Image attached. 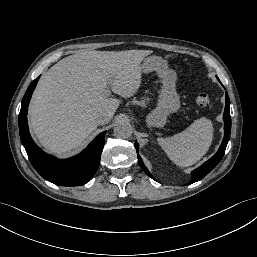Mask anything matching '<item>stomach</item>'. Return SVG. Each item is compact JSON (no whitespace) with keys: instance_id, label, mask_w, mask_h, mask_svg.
<instances>
[{"instance_id":"obj_1","label":"stomach","mask_w":257,"mask_h":257,"mask_svg":"<svg viewBox=\"0 0 257 257\" xmlns=\"http://www.w3.org/2000/svg\"><path fill=\"white\" fill-rule=\"evenodd\" d=\"M141 71L143 73L156 71L162 81L163 86L159 93L157 106L146 118L148 127H161L165 124L167 116L180 107L179 95L175 89L176 75L168 68L166 60L155 55L143 60Z\"/></svg>"}]
</instances>
